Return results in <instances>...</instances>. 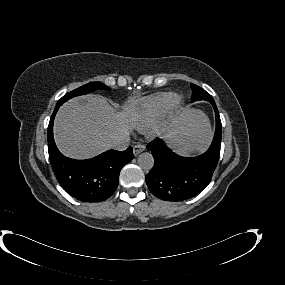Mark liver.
I'll use <instances>...</instances> for the list:
<instances>
[{
  "instance_id": "obj_1",
  "label": "liver",
  "mask_w": 285,
  "mask_h": 285,
  "mask_svg": "<svg viewBox=\"0 0 285 285\" xmlns=\"http://www.w3.org/2000/svg\"><path fill=\"white\" fill-rule=\"evenodd\" d=\"M135 101H131V105ZM128 105L118 112L102 96L76 97L59 109L54 122V138L59 150L75 159H87L107 150L108 142L129 134L137 116ZM198 110L186 108L174 124L178 146L197 147L208 139V124L201 125Z\"/></svg>"
}]
</instances>
